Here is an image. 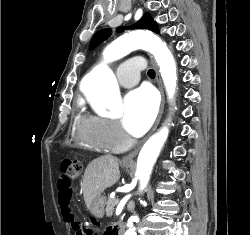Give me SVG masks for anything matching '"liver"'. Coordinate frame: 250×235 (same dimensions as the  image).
I'll return each mask as SVG.
<instances>
[{
    "label": "liver",
    "mask_w": 250,
    "mask_h": 235,
    "mask_svg": "<svg viewBox=\"0 0 250 235\" xmlns=\"http://www.w3.org/2000/svg\"><path fill=\"white\" fill-rule=\"evenodd\" d=\"M120 179L118 158L105 155L90 162L83 177V197L88 209L93 200Z\"/></svg>",
    "instance_id": "1"
}]
</instances>
